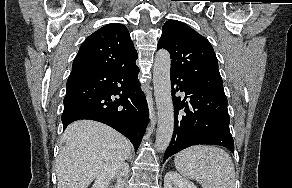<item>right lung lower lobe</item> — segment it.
<instances>
[{
  "label": "right lung lower lobe",
  "instance_id": "98d812e1",
  "mask_svg": "<svg viewBox=\"0 0 292 188\" xmlns=\"http://www.w3.org/2000/svg\"><path fill=\"white\" fill-rule=\"evenodd\" d=\"M138 72L136 65L123 69H73L66 84L63 128L80 119L99 121L126 136L136 151L149 116Z\"/></svg>",
  "mask_w": 292,
  "mask_h": 188
}]
</instances>
